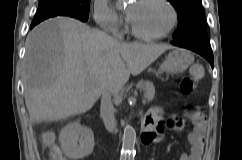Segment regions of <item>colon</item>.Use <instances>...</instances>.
<instances>
[{"instance_id": "colon-1", "label": "colon", "mask_w": 242, "mask_h": 160, "mask_svg": "<svg viewBox=\"0 0 242 160\" xmlns=\"http://www.w3.org/2000/svg\"><path fill=\"white\" fill-rule=\"evenodd\" d=\"M204 75V69L200 64H194L191 66L189 75L183 78L180 84V90L183 94H191L197 89V84L198 82L202 79ZM196 110H190L189 114H196ZM162 123H157L156 128L157 129H162ZM45 139L50 142L53 140V136L47 134L45 136ZM52 157L54 160H63V157L59 150L55 149L52 152Z\"/></svg>"}]
</instances>
